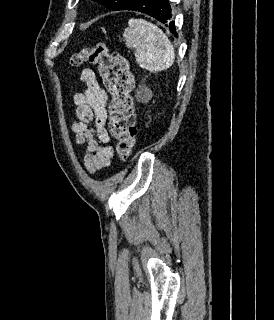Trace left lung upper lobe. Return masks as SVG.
Instances as JSON below:
<instances>
[{
  "label": "left lung upper lobe",
  "mask_w": 274,
  "mask_h": 320,
  "mask_svg": "<svg viewBox=\"0 0 274 320\" xmlns=\"http://www.w3.org/2000/svg\"><path fill=\"white\" fill-rule=\"evenodd\" d=\"M111 10H122L134 0H94Z\"/></svg>",
  "instance_id": "5c2ea615"
}]
</instances>
